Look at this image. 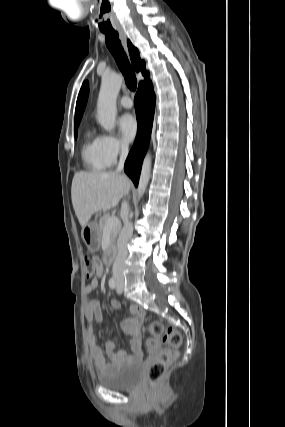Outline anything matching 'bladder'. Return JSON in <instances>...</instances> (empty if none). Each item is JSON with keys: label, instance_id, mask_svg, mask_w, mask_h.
Masks as SVG:
<instances>
[{"label": "bladder", "instance_id": "bladder-1", "mask_svg": "<svg viewBox=\"0 0 285 427\" xmlns=\"http://www.w3.org/2000/svg\"><path fill=\"white\" fill-rule=\"evenodd\" d=\"M142 364L135 362L127 365L118 371L110 373H101L97 380L103 386L113 390H131L135 389L141 380Z\"/></svg>", "mask_w": 285, "mask_h": 427}]
</instances>
